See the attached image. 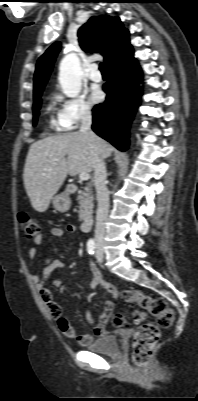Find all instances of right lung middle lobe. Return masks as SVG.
I'll use <instances>...</instances> for the list:
<instances>
[{
	"label": "right lung middle lobe",
	"instance_id": "dd1d6c3e",
	"mask_svg": "<svg viewBox=\"0 0 198 401\" xmlns=\"http://www.w3.org/2000/svg\"><path fill=\"white\" fill-rule=\"evenodd\" d=\"M41 93L37 94L34 96V105H33V125H36L37 123V118L39 115V109L41 107Z\"/></svg>",
	"mask_w": 198,
	"mask_h": 401
}]
</instances>
